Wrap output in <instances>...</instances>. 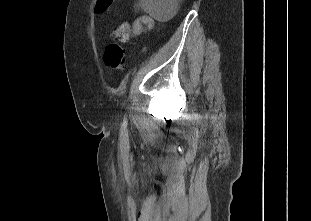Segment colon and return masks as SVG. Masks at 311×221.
<instances>
[{"label":"colon","instance_id":"colon-1","mask_svg":"<svg viewBox=\"0 0 311 221\" xmlns=\"http://www.w3.org/2000/svg\"><path fill=\"white\" fill-rule=\"evenodd\" d=\"M99 15H102L104 9L109 8L108 0H97L94 4ZM130 31L128 23L122 24L116 31L115 36H121V41H127ZM124 38V39H123ZM104 60L108 68L115 73L121 71L124 66V50L116 43H111L105 50Z\"/></svg>","mask_w":311,"mask_h":221}]
</instances>
